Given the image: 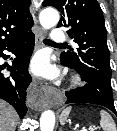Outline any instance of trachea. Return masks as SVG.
<instances>
[{"mask_svg":"<svg viewBox=\"0 0 117 131\" xmlns=\"http://www.w3.org/2000/svg\"><path fill=\"white\" fill-rule=\"evenodd\" d=\"M45 43H50V44H56V45H64V44H57V43H54L53 41L49 40V39H44L43 40Z\"/></svg>","mask_w":117,"mask_h":131,"instance_id":"3493384b","label":"trachea"}]
</instances>
